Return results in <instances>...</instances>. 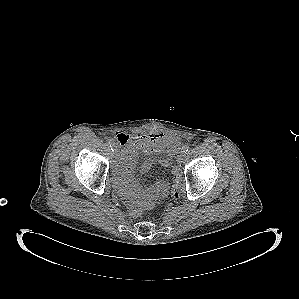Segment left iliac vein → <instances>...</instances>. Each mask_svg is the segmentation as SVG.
<instances>
[{
    "instance_id": "left-iliac-vein-1",
    "label": "left iliac vein",
    "mask_w": 299,
    "mask_h": 299,
    "mask_svg": "<svg viewBox=\"0 0 299 299\" xmlns=\"http://www.w3.org/2000/svg\"><path fill=\"white\" fill-rule=\"evenodd\" d=\"M184 157H185V154H184V152L181 151L177 156L178 163H182L184 161Z\"/></svg>"
}]
</instances>
